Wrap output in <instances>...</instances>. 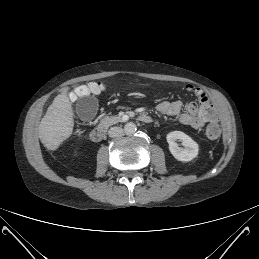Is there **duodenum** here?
<instances>
[{
  "mask_svg": "<svg viewBox=\"0 0 259 259\" xmlns=\"http://www.w3.org/2000/svg\"><path fill=\"white\" fill-rule=\"evenodd\" d=\"M139 121L142 123L149 124L152 122V118L149 115H140ZM106 135V127L105 126H97L95 127L91 133L90 138L94 142H100Z\"/></svg>",
  "mask_w": 259,
  "mask_h": 259,
  "instance_id": "obj_1",
  "label": "duodenum"
}]
</instances>
